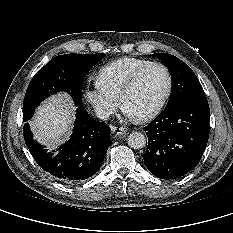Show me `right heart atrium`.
I'll return each instance as SVG.
<instances>
[{
  "label": "right heart atrium",
  "instance_id": "right-heart-atrium-1",
  "mask_svg": "<svg viewBox=\"0 0 233 233\" xmlns=\"http://www.w3.org/2000/svg\"><path fill=\"white\" fill-rule=\"evenodd\" d=\"M84 96L100 118H107L118 106V98L108 92L97 79L86 87Z\"/></svg>",
  "mask_w": 233,
  "mask_h": 233
}]
</instances>
